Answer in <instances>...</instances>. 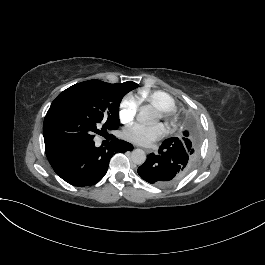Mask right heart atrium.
<instances>
[{
	"label": "right heart atrium",
	"mask_w": 265,
	"mask_h": 265,
	"mask_svg": "<svg viewBox=\"0 0 265 265\" xmlns=\"http://www.w3.org/2000/svg\"><path fill=\"white\" fill-rule=\"evenodd\" d=\"M141 101L133 94H128L120 106V119L124 123L132 121L137 115Z\"/></svg>",
	"instance_id": "obj_1"
}]
</instances>
